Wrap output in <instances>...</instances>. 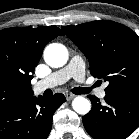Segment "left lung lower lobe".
I'll use <instances>...</instances> for the list:
<instances>
[{
  "label": "left lung lower lobe",
  "instance_id": "obj_1",
  "mask_svg": "<svg viewBox=\"0 0 139 139\" xmlns=\"http://www.w3.org/2000/svg\"><path fill=\"white\" fill-rule=\"evenodd\" d=\"M91 111L83 124L94 139H125L139 126V87L106 95L104 103L89 95Z\"/></svg>",
  "mask_w": 139,
  "mask_h": 139
}]
</instances>
